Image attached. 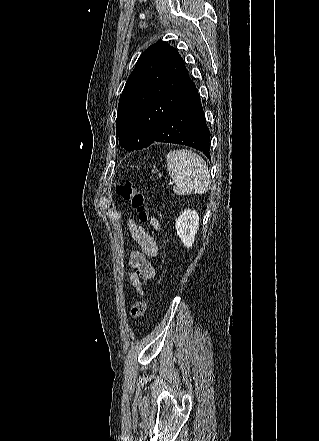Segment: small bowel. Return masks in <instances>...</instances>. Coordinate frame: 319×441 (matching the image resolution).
<instances>
[{
    "label": "small bowel",
    "mask_w": 319,
    "mask_h": 441,
    "mask_svg": "<svg viewBox=\"0 0 319 441\" xmlns=\"http://www.w3.org/2000/svg\"><path fill=\"white\" fill-rule=\"evenodd\" d=\"M148 222L154 230H160L159 222L154 217L149 218ZM128 226L132 238L141 249V251H132L130 254L129 265L132 271L129 274V279L135 289L140 291L141 279H150L155 275V269L148 258L157 256L158 246L156 240L135 220L130 219Z\"/></svg>",
    "instance_id": "1"
}]
</instances>
